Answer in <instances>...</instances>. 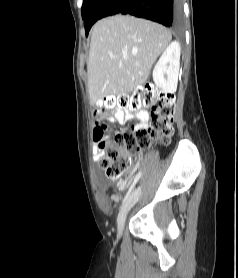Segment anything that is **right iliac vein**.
<instances>
[{
  "label": "right iliac vein",
  "instance_id": "63e3f726",
  "mask_svg": "<svg viewBox=\"0 0 238 278\" xmlns=\"http://www.w3.org/2000/svg\"><path fill=\"white\" fill-rule=\"evenodd\" d=\"M145 186H138V189H135L130 196L127 198L125 203L123 204L119 216H118V235L121 236L123 234L125 220L128 211L130 208L137 202H140V199L137 198V195H144Z\"/></svg>",
  "mask_w": 238,
  "mask_h": 278
}]
</instances>
